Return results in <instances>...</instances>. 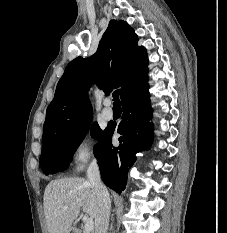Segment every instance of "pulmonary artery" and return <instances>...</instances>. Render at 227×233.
I'll return each instance as SVG.
<instances>
[{"label": "pulmonary artery", "instance_id": "1", "mask_svg": "<svg viewBox=\"0 0 227 233\" xmlns=\"http://www.w3.org/2000/svg\"><path fill=\"white\" fill-rule=\"evenodd\" d=\"M111 101L109 99H106L104 101L105 107L102 110V116L105 120H111L114 116L113 110L110 107Z\"/></svg>", "mask_w": 227, "mask_h": 233}]
</instances>
